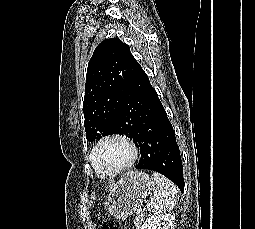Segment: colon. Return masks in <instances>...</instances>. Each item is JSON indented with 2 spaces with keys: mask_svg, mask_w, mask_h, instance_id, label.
Masks as SVG:
<instances>
[{
  "mask_svg": "<svg viewBox=\"0 0 255 229\" xmlns=\"http://www.w3.org/2000/svg\"><path fill=\"white\" fill-rule=\"evenodd\" d=\"M102 229H121V227L117 221L108 219L104 221Z\"/></svg>",
  "mask_w": 255,
  "mask_h": 229,
  "instance_id": "5ec220e1",
  "label": "colon"
}]
</instances>
